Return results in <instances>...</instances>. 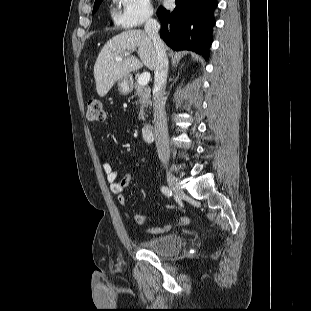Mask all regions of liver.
<instances>
[{"instance_id":"liver-1","label":"liver","mask_w":311,"mask_h":311,"mask_svg":"<svg viewBox=\"0 0 311 311\" xmlns=\"http://www.w3.org/2000/svg\"><path fill=\"white\" fill-rule=\"evenodd\" d=\"M138 49L140 58L130 56L131 51ZM129 53L121 61L116 57ZM145 65L150 70L156 67V52L152 40L142 30H129L110 39L100 51L94 65L96 90L104 97L119 79L128 76L132 71Z\"/></svg>"}]
</instances>
